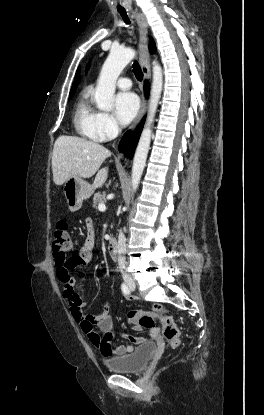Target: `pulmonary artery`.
Instances as JSON below:
<instances>
[{
    "label": "pulmonary artery",
    "mask_w": 264,
    "mask_h": 415,
    "mask_svg": "<svg viewBox=\"0 0 264 415\" xmlns=\"http://www.w3.org/2000/svg\"><path fill=\"white\" fill-rule=\"evenodd\" d=\"M116 86L122 90H128L132 86V82L129 78L121 77L117 80Z\"/></svg>",
    "instance_id": "e3ab8cb5"
}]
</instances>
